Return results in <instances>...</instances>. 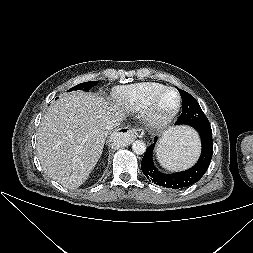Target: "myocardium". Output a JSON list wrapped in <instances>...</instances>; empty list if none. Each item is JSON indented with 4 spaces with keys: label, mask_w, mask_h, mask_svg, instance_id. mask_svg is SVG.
Here are the masks:
<instances>
[{
    "label": "myocardium",
    "mask_w": 253,
    "mask_h": 253,
    "mask_svg": "<svg viewBox=\"0 0 253 253\" xmlns=\"http://www.w3.org/2000/svg\"><path fill=\"white\" fill-rule=\"evenodd\" d=\"M167 91H174L177 94L178 101L174 109L166 115H159L158 105L162 96ZM182 98L179 91L175 87H165L158 93H156L148 102L144 110V122L147 127L152 130H160L166 127L175 118L181 108Z\"/></svg>",
    "instance_id": "obj_1"
}]
</instances>
